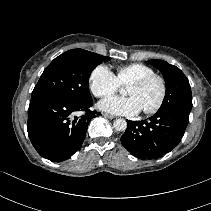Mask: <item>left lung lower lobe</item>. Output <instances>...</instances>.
I'll return each instance as SVG.
<instances>
[{
  "label": "left lung lower lobe",
  "mask_w": 211,
  "mask_h": 211,
  "mask_svg": "<svg viewBox=\"0 0 211 211\" xmlns=\"http://www.w3.org/2000/svg\"><path fill=\"white\" fill-rule=\"evenodd\" d=\"M188 122L189 113L185 111L175 108L158 110L148 120H127L121 143L138 158H160L179 144Z\"/></svg>",
  "instance_id": "1"
}]
</instances>
